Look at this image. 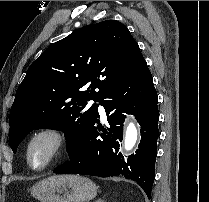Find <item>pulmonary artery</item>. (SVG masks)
<instances>
[{
  "instance_id": "obj_1",
  "label": "pulmonary artery",
  "mask_w": 209,
  "mask_h": 202,
  "mask_svg": "<svg viewBox=\"0 0 209 202\" xmlns=\"http://www.w3.org/2000/svg\"><path fill=\"white\" fill-rule=\"evenodd\" d=\"M93 104L97 105L100 114H101V115H104V104H103L101 101L95 100V99L90 100V101L88 102V105H89V106H91V105H93Z\"/></svg>"
}]
</instances>
